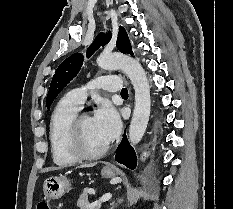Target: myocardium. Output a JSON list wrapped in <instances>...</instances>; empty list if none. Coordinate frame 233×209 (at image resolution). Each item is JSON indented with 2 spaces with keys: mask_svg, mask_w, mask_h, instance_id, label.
<instances>
[{
  "mask_svg": "<svg viewBox=\"0 0 233 209\" xmlns=\"http://www.w3.org/2000/svg\"><path fill=\"white\" fill-rule=\"evenodd\" d=\"M89 117L87 113L77 114L70 122L67 130V146L72 155L81 160H94L102 157L109 149L106 144L98 151H88L81 141V124L84 118Z\"/></svg>",
  "mask_w": 233,
  "mask_h": 209,
  "instance_id": "1",
  "label": "myocardium"
}]
</instances>
